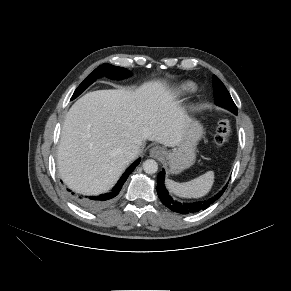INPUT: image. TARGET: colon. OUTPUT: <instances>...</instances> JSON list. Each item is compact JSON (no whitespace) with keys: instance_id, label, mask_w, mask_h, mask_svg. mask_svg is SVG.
<instances>
[{"instance_id":"obj_1","label":"colon","mask_w":291,"mask_h":291,"mask_svg":"<svg viewBox=\"0 0 291 291\" xmlns=\"http://www.w3.org/2000/svg\"><path fill=\"white\" fill-rule=\"evenodd\" d=\"M231 123L227 118H222L217 125L214 136V144L216 147H224L231 137Z\"/></svg>"}]
</instances>
